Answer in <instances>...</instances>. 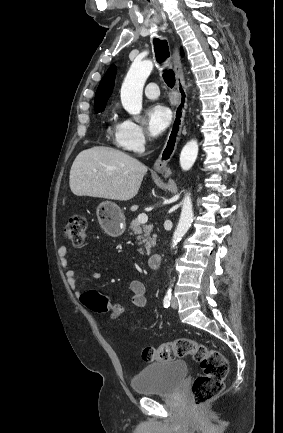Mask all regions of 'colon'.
Here are the masks:
<instances>
[{
    "label": "colon",
    "mask_w": 283,
    "mask_h": 433,
    "mask_svg": "<svg viewBox=\"0 0 283 433\" xmlns=\"http://www.w3.org/2000/svg\"><path fill=\"white\" fill-rule=\"evenodd\" d=\"M86 229L85 218L80 214H73L63 233L72 245L80 247L86 242ZM80 299L86 308L95 313L110 312L113 318H117L123 312L120 305H111L97 291L85 292ZM186 356H191L201 367L202 374L194 380L192 385V396L195 405H203L220 394L224 388L229 365L226 357L220 351L191 339L178 338L158 346L146 347L142 352V358L149 362L170 361Z\"/></svg>",
    "instance_id": "5ec220e1"
}]
</instances>
